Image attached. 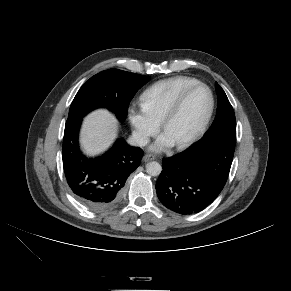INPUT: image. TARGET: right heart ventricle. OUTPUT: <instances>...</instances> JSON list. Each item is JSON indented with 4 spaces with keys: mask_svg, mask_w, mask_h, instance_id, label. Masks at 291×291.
Here are the masks:
<instances>
[{
    "mask_svg": "<svg viewBox=\"0 0 291 291\" xmlns=\"http://www.w3.org/2000/svg\"><path fill=\"white\" fill-rule=\"evenodd\" d=\"M198 82L197 79L189 76H175L160 80L141 94V106L154 120L160 123L178 95L185 88Z\"/></svg>",
    "mask_w": 291,
    "mask_h": 291,
    "instance_id": "right-heart-ventricle-1",
    "label": "right heart ventricle"
}]
</instances>
